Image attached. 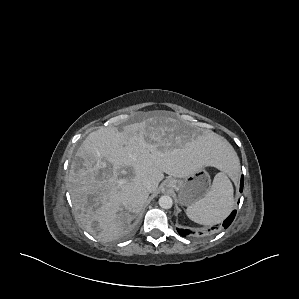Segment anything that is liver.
Segmentation results:
<instances>
[{
  "label": "liver",
  "instance_id": "1",
  "mask_svg": "<svg viewBox=\"0 0 299 299\" xmlns=\"http://www.w3.org/2000/svg\"><path fill=\"white\" fill-rule=\"evenodd\" d=\"M235 161L232 146L218 134H199L177 119L154 115L121 131L101 127L90 133L71 164L68 189L82 228L113 240L128 230L163 173L186 177L204 166L228 171Z\"/></svg>",
  "mask_w": 299,
  "mask_h": 299
}]
</instances>
